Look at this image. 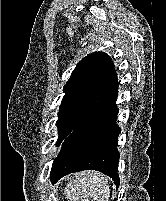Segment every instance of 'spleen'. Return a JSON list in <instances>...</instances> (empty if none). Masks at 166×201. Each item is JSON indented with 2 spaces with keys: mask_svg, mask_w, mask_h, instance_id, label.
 <instances>
[{
  "mask_svg": "<svg viewBox=\"0 0 166 201\" xmlns=\"http://www.w3.org/2000/svg\"><path fill=\"white\" fill-rule=\"evenodd\" d=\"M65 196L68 201H108L110 189L102 174L86 171L74 176L65 188Z\"/></svg>",
  "mask_w": 166,
  "mask_h": 201,
  "instance_id": "1",
  "label": "spleen"
}]
</instances>
